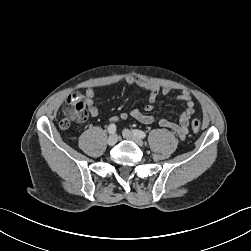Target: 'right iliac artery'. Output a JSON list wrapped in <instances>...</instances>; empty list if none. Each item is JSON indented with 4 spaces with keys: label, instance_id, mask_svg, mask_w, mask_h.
Here are the masks:
<instances>
[{
    "label": "right iliac artery",
    "instance_id": "obj_1",
    "mask_svg": "<svg viewBox=\"0 0 251 251\" xmlns=\"http://www.w3.org/2000/svg\"><path fill=\"white\" fill-rule=\"evenodd\" d=\"M108 132L110 134H114L116 132V125L115 124H110L108 127Z\"/></svg>",
    "mask_w": 251,
    "mask_h": 251
}]
</instances>
